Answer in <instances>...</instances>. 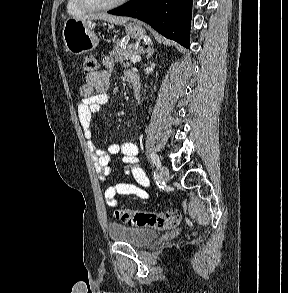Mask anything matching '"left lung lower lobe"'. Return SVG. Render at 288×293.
Instances as JSON below:
<instances>
[{
	"label": "left lung lower lobe",
	"mask_w": 288,
	"mask_h": 293,
	"mask_svg": "<svg viewBox=\"0 0 288 293\" xmlns=\"http://www.w3.org/2000/svg\"><path fill=\"white\" fill-rule=\"evenodd\" d=\"M108 13L142 20L166 38L190 47L192 0H130Z\"/></svg>",
	"instance_id": "left-lung-lower-lobe-1"
}]
</instances>
